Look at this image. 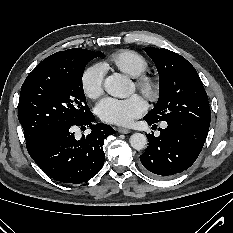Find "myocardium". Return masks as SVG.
I'll return each instance as SVG.
<instances>
[{
    "instance_id": "f54148a6",
    "label": "myocardium",
    "mask_w": 233,
    "mask_h": 233,
    "mask_svg": "<svg viewBox=\"0 0 233 233\" xmlns=\"http://www.w3.org/2000/svg\"><path fill=\"white\" fill-rule=\"evenodd\" d=\"M136 89L148 100H155L160 91L159 80L150 74L143 73L136 77L135 81Z\"/></svg>"
}]
</instances>
